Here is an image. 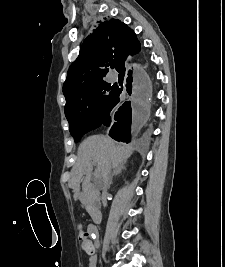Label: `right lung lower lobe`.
<instances>
[{
    "label": "right lung lower lobe",
    "instance_id": "98d812e1",
    "mask_svg": "<svg viewBox=\"0 0 225 267\" xmlns=\"http://www.w3.org/2000/svg\"><path fill=\"white\" fill-rule=\"evenodd\" d=\"M140 49H141L140 43H138L135 46V48L129 53V55L133 56L139 53ZM130 68H131L130 60H127L125 62V67L119 72L123 75H125V73L128 75L126 87H127V92L129 94L132 93V70ZM138 72L141 73V70H138ZM135 75H136V71H135ZM149 84L150 82L147 78H144L143 86L140 85L139 81L134 79L133 94L141 98L142 100H145L147 97V88ZM121 92H122V88L117 87V93L113 99V102L108 112L105 114V117L103 118V121L100 124V126L101 125L110 126L112 125L113 119L117 120L118 122L112 125L109 135L115 140L129 142L131 139L130 116H128L127 122L125 121L123 123L121 122L118 116L119 110L125 103L122 106H120L118 111L115 113V116H113V110L116 109L120 103Z\"/></svg>",
    "mask_w": 225,
    "mask_h": 267
}]
</instances>
